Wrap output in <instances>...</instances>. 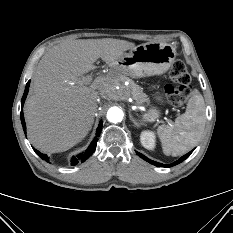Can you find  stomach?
<instances>
[{
	"label": "stomach",
	"mask_w": 233,
	"mask_h": 233,
	"mask_svg": "<svg viewBox=\"0 0 233 233\" xmlns=\"http://www.w3.org/2000/svg\"><path fill=\"white\" fill-rule=\"evenodd\" d=\"M176 49L167 43L151 42L138 45L118 59L112 66L116 70L133 78H140L165 73L176 58ZM161 100L159 96L156 97ZM160 112L152 108L143 120L152 122L157 119Z\"/></svg>",
	"instance_id": "obj_1"
}]
</instances>
